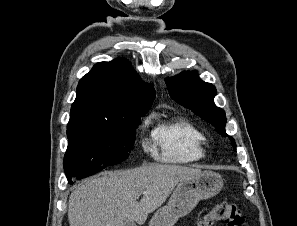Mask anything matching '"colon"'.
Returning a JSON list of instances; mask_svg holds the SVG:
<instances>
[{
    "label": "colon",
    "instance_id": "5ec220e1",
    "mask_svg": "<svg viewBox=\"0 0 297 226\" xmlns=\"http://www.w3.org/2000/svg\"><path fill=\"white\" fill-rule=\"evenodd\" d=\"M227 226H247V220L242 211L234 204L220 202L215 205L196 226H214L217 222Z\"/></svg>",
    "mask_w": 297,
    "mask_h": 226
}]
</instances>
